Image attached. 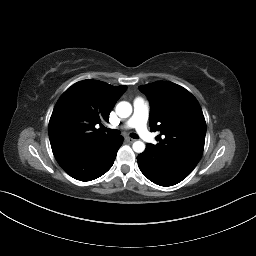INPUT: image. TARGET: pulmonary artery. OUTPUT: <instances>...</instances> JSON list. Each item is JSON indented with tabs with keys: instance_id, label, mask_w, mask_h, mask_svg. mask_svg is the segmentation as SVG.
<instances>
[{
	"instance_id": "obj_1",
	"label": "pulmonary artery",
	"mask_w": 256,
	"mask_h": 256,
	"mask_svg": "<svg viewBox=\"0 0 256 256\" xmlns=\"http://www.w3.org/2000/svg\"><path fill=\"white\" fill-rule=\"evenodd\" d=\"M149 117V104L142 98L134 101V109L132 116L123 124V129L134 128L141 138L147 142L154 143V136L147 129V121Z\"/></svg>"
}]
</instances>
